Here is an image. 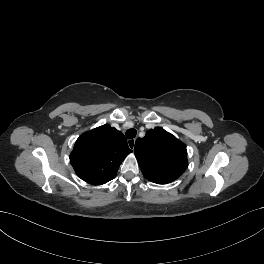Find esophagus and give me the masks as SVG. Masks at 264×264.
<instances>
[{
    "instance_id": "obj_1",
    "label": "esophagus",
    "mask_w": 264,
    "mask_h": 264,
    "mask_svg": "<svg viewBox=\"0 0 264 264\" xmlns=\"http://www.w3.org/2000/svg\"><path fill=\"white\" fill-rule=\"evenodd\" d=\"M135 142H136L135 139H129L128 140V146H129L130 149L134 150Z\"/></svg>"
}]
</instances>
